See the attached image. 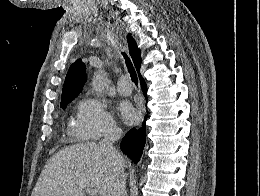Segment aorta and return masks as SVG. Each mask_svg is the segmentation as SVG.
I'll return each mask as SVG.
<instances>
[{
	"instance_id": "1",
	"label": "aorta",
	"mask_w": 260,
	"mask_h": 196,
	"mask_svg": "<svg viewBox=\"0 0 260 196\" xmlns=\"http://www.w3.org/2000/svg\"><path fill=\"white\" fill-rule=\"evenodd\" d=\"M91 85L92 89L97 95L102 94L105 87L107 86L103 77V71L99 70L94 73Z\"/></svg>"
}]
</instances>
